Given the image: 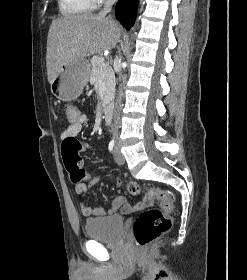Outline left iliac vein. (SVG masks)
Wrapping results in <instances>:
<instances>
[{
  "label": "left iliac vein",
  "instance_id": "left-iliac-vein-1",
  "mask_svg": "<svg viewBox=\"0 0 247 280\" xmlns=\"http://www.w3.org/2000/svg\"><path fill=\"white\" fill-rule=\"evenodd\" d=\"M114 159H115L116 163H118L119 165H122L125 163V159H124V156L122 155V153L120 152L119 145H117L115 148Z\"/></svg>",
  "mask_w": 247,
  "mask_h": 280
}]
</instances>
